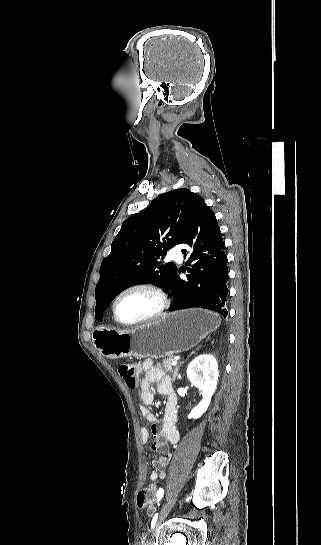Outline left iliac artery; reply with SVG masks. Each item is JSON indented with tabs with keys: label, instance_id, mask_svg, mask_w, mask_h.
I'll return each mask as SVG.
<instances>
[{
	"label": "left iliac artery",
	"instance_id": "44dca946",
	"mask_svg": "<svg viewBox=\"0 0 321 545\" xmlns=\"http://www.w3.org/2000/svg\"><path fill=\"white\" fill-rule=\"evenodd\" d=\"M163 494H164V490L161 488L159 491H158V498L161 499L163 497ZM157 517H158V514H156L152 520V523L151 525L154 526L156 520H157Z\"/></svg>",
	"mask_w": 321,
	"mask_h": 545
}]
</instances>
